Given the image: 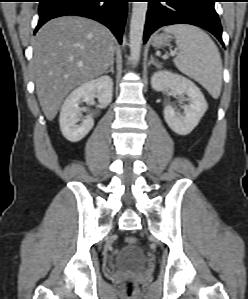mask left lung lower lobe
<instances>
[{
	"mask_svg": "<svg viewBox=\"0 0 248 299\" xmlns=\"http://www.w3.org/2000/svg\"><path fill=\"white\" fill-rule=\"evenodd\" d=\"M148 12L144 42L158 28L173 24H191L211 32L224 46L222 27L214 9L216 0H147Z\"/></svg>",
	"mask_w": 248,
	"mask_h": 299,
	"instance_id": "0a47b994",
	"label": "left lung lower lobe"
}]
</instances>
